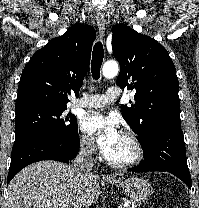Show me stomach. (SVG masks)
<instances>
[{"instance_id":"1","label":"stomach","mask_w":199,"mask_h":208,"mask_svg":"<svg viewBox=\"0 0 199 208\" xmlns=\"http://www.w3.org/2000/svg\"><path fill=\"white\" fill-rule=\"evenodd\" d=\"M110 183L117 187H122L126 195L133 201H144L152 193L151 184L139 177H130L123 181L110 180Z\"/></svg>"}]
</instances>
